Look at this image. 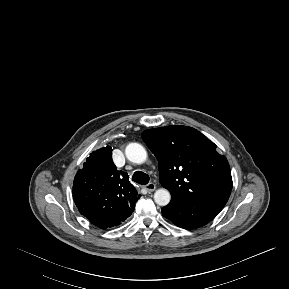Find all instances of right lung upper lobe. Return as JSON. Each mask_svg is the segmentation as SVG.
I'll use <instances>...</instances> for the list:
<instances>
[{"instance_id": "cb5924a9", "label": "right lung upper lobe", "mask_w": 289, "mask_h": 289, "mask_svg": "<svg viewBox=\"0 0 289 289\" xmlns=\"http://www.w3.org/2000/svg\"><path fill=\"white\" fill-rule=\"evenodd\" d=\"M139 197L128 175L118 171L113 163L110 146L91 153L74 178V202L86 217L105 218L135 206Z\"/></svg>"}]
</instances>
